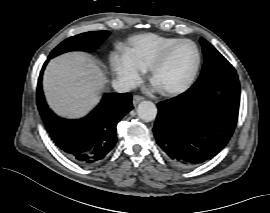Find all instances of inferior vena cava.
<instances>
[{
	"mask_svg": "<svg viewBox=\"0 0 270 213\" xmlns=\"http://www.w3.org/2000/svg\"><path fill=\"white\" fill-rule=\"evenodd\" d=\"M113 88L119 93L129 92L136 88L135 82L120 78L113 81Z\"/></svg>",
	"mask_w": 270,
	"mask_h": 213,
	"instance_id": "1",
	"label": "inferior vena cava"
}]
</instances>
